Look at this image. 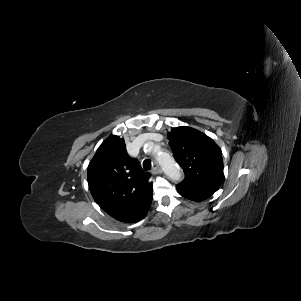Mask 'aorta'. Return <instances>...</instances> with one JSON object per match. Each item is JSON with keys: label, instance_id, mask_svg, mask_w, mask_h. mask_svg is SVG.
Wrapping results in <instances>:
<instances>
[{"label": "aorta", "instance_id": "obj_1", "mask_svg": "<svg viewBox=\"0 0 301 301\" xmlns=\"http://www.w3.org/2000/svg\"><path fill=\"white\" fill-rule=\"evenodd\" d=\"M158 161L165 171L166 175L174 182L180 181L182 173L178 165L168 154H162L158 156Z\"/></svg>", "mask_w": 301, "mask_h": 301}]
</instances>
